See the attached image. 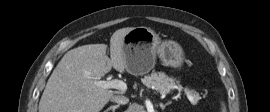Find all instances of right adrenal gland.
Returning a JSON list of instances; mask_svg holds the SVG:
<instances>
[{
	"mask_svg": "<svg viewBox=\"0 0 270 112\" xmlns=\"http://www.w3.org/2000/svg\"><path fill=\"white\" fill-rule=\"evenodd\" d=\"M120 105H113L110 106L109 108H107L104 112H109L110 110H112V112H115V110L119 107Z\"/></svg>",
	"mask_w": 270,
	"mask_h": 112,
	"instance_id": "2a0ac1e0",
	"label": "right adrenal gland"
}]
</instances>
